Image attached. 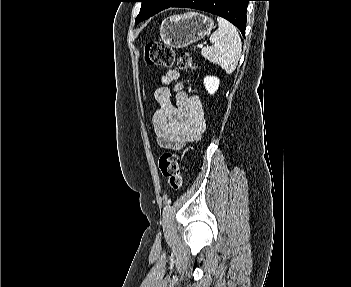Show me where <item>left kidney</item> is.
<instances>
[{"mask_svg":"<svg viewBox=\"0 0 351 287\" xmlns=\"http://www.w3.org/2000/svg\"><path fill=\"white\" fill-rule=\"evenodd\" d=\"M219 79L214 76H206L204 78V86L209 94L213 95L219 87Z\"/></svg>","mask_w":351,"mask_h":287,"instance_id":"left-kidney-1","label":"left kidney"}]
</instances>
